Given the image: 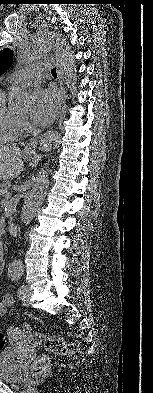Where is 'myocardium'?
I'll return each mask as SVG.
<instances>
[{
  "mask_svg": "<svg viewBox=\"0 0 153 393\" xmlns=\"http://www.w3.org/2000/svg\"><path fill=\"white\" fill-rule=\"evenodd\" d=\"M18 120H19L21 123H23V122H24V121H23L21 118H19V117H18Z\"/></svg>",
  "mask_w": 153,
  "mask_h": 393,
  "instance_id": "f54148a6",
  "label": "myocardium"
}]
</instances>
